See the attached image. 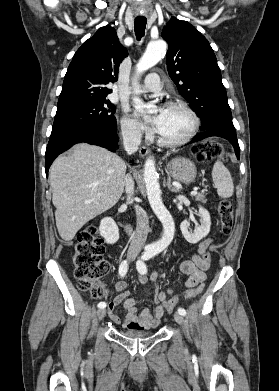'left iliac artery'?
<instances>
[{
    "instance_id": "1",
    "label": "left iliac artery",
    "mask_w": 279,
    "mask_h": 391,
    "mask_svg": "<svg viewBox=\"0 0 279 391\" xmlns=\"http://www.w3.org/2000/svg\"><path fill=\"white\" fill-rule=\"evenodd\" d=\"M157 252L154 249H148L146 252L142 255L141 259L137 261L136 267L140 274H146L147 273V267L145 264V261L152 258ZM178 313L181 315H186V311L183 308H178Z\"/></svg>"
}]
</instances>
